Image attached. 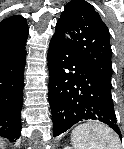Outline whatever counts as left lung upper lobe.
I'll list each match as a JSON object with an SVG mask.
<instances>
[{"mask_svg":"<svg viewBox=\"0 0 124 149\" xmlns=\"http://www.w3.org/2000/svg\"><path fill=\"white\" fill-rule=\"evenodd\" d=\"M67 32L71 34V39L64 40L63 36ZM55 34L59 35L98 77L111 84L110 34L91 4L84 0H71L66 4L56 24Z\"/></svg>","mask_w":124,"mask_h":149,"instance_id":"1","label":"left lung upper lobe"}]
</instances>
